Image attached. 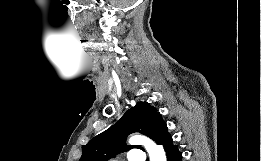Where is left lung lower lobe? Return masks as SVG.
<instances>
[{
  "instance_id": "0a47b994",
  "label": "left lung lower lobe",
  "mask_w": 261,
  "mask_h": 161,
  "mask_svg": "<svg viewBox=\"0 0 261 161\" xmlns=\"http://www.w3.org/2000/svg\"><path fill=\"white\" fill-rule=\"evenodd\" d=\"M159 144L163 145L165 149L167 161H181L182 155L178 151L177 145L173 144L170 134Z\"/></svg>"
}]
</instances>
